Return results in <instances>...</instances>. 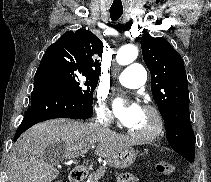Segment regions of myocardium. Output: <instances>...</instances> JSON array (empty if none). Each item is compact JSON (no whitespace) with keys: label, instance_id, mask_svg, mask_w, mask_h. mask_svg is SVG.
<instances>
[{"label":"myocardium","instance_id":"1","mask_svg":"<svg viewBox=\"0 0 211 182\" xmlns=\"http://www.w3.org/2000/svg\"><path fill=\"white\" fill-rule=\"evenodd\" d=\"M143 109L153 114L156 121L155 127L148 134H139L129 128L128 134L138 142L150 143L156 140L163 133L165 128V120L161 111L157 107L151 104H146L143 106Z\"/></svg>","mask_w":211,"mask_h":182}]
</instances>
